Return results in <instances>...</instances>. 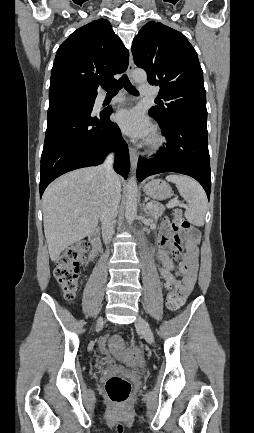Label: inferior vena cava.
I'll return each instance as SVG.
<instances>
[{"label":"inferior vena cava","mask_w":254,"mask_h":433,"mask_svg":"<svg viewBox=\"0 0 254 433\" xmlns=\"http://www.w3.org/2000/svg\"><path fill=\"white\" fill-rule=\"evenodd\" d=\"M113 154H109L105 162L99 166L104 173L106 180V199L101 214L102 237L105 244L111 241L114 233V219L117 215V209L121 198V184L118 175L114 172Z\"/></svg>","instance_id":"inferior-vena-cava-1"}]
</instances>
